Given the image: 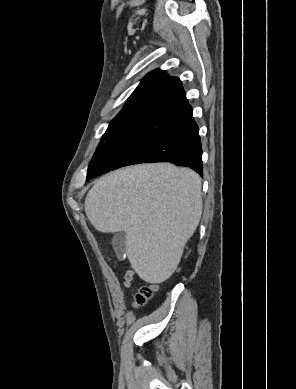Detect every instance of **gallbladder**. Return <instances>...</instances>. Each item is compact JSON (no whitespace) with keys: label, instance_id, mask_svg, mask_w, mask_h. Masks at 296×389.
Here are the masks:
<instances>
[{"label":"gallbladder","instance_id":"obj_1","mask_svg":"<svg viewBox=\"0 0 296 389\" xmlns=\"http://www.w3.org/2000/svg\"><path fill=\"white\" fill-rule=\"evenodd\" d=\"M113 248L119 258H123L126 254V234L124 232H117L112 239Z\"/></svg>","mask_w":296,"mask_h":389}]
</instances>
